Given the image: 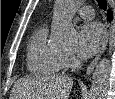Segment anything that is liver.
<instances>
[{
	"instance_id": "6515ba94",
	"label": "liver",
	"mask_w": 115,
	"mask_h": 99,
	"mask_svg": "<svg viewBox=\"0 0 115 99\" xmlns=\"http://www.w3.org/2000/svg\"><path fill=\"white\" fill-rule=\"evenodd\" d=\"M73 86L72 78L61 75L24 77L13 88L16 99H68Z\"/></svg>"
}]
</instances>
